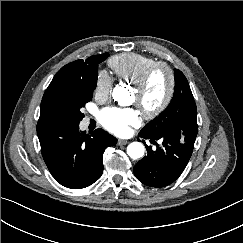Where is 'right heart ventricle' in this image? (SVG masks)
Returning <instances> with one entry per match:
<instances>
[{
	"label": "right heart ventricle",
	"mask_w": 243,
	"mask_h": 243,
	"mask_svg": "<svg viewBox=\"0 0 243 243\" xmlns=\"http://www.w3.org/2000/svg\"><path fill=\"white\" fill-rule=\"evenodd\" d=\"M154 62V58L142 54L122 53L113 56L108 65L117 79L133 83Z\"/></svg>",
	"instance_id": "e07e8e85"
}]
</instances>
